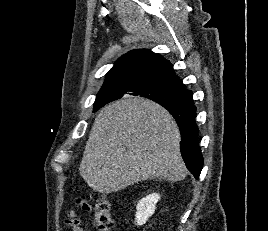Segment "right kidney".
<instances>
[{
	"instance_id": "ca27d5eb",
	"label": "right kidney",
	"mask_w": 268,
	"mask_h": 231,
	"mask_svg": "<svg viewBox=\"0 0 268 231\" xmlns=\"http://www.w3.org/2000/svg\"><path fill=\"white\" fill-rule=\"evenodd\" d=\"M160 195L157 193L149 194L142 198L136 206L135 222L141 226L154 214L156 203L159 201Z\"/></svg>"
}]
</instances>
